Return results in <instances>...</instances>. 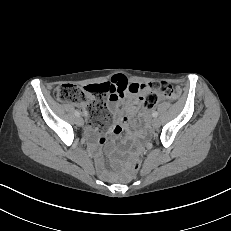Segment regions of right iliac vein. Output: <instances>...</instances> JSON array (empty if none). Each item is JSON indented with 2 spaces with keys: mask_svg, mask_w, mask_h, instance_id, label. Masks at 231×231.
<instances>
[{
  "mask_svg": "<svg viewBox=\"0 0 231 231\" xmlns=\"http://www.w3.org/2000/svg\"><path fill=\"white\" fill-rule=\"evenodd\" d=\"M76 124H77L78 126H83L84 120H83L81 117H77V118H76Z\"/></svg>",
  "mask_w": 231,
  "mask_h": 231,
  "instance_id": "1",
  "label": "right iliac vein"
}]
</instances>
